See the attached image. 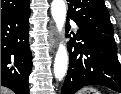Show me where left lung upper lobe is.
Returning <instances> with one entry per match:
<instances>
[{"instance_id":"1","label":"left lung upper lobe","mask_w":121,"mask_h":94,"mask_svg":"<svg viewBox=\"0 0 121 94\" xmlns=\"http://www.w3.org/2000/svg\"><path fill=\"white\" fill-rule=\"evenodd\" d=\"M67 2V19L71 18L79 27L114 36L104 0H67Z\"/></svg>"}]
</instances>
